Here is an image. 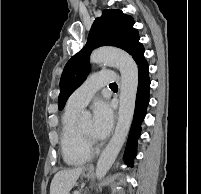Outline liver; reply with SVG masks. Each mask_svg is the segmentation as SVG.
Wrapping results in <instances>:
<instances>
[{"label": "liver", "instance_id": "6515ba94", "mask_svg": "<svg viewBox=\"0 0 201 194\" xmlns=\"http://www.w3.org/2000/svg\"><path fill=\"white\" fill-rule=\"evenodd\" d=\"M85 167L65 169L57 172L50 185V194H69Z\"/></svg>", "mask_w": 201, "mask_h": 194}]
</instances>
